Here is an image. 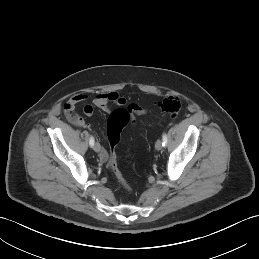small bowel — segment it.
Masks as SVG:
<instances>
[{
    "label": "small bowel",
    "instance_id": "obj_1",
    "mask_svg": "<svg viewBox=\"0 0 259 259\" xmlns=\"http://www.w3.org/2000/svg\"><path fill=\"white\" fill-rule=\"evenodd\" d=\"M82 101H89L95 107L108 112L110 110V104H116L122 107H126L129 112L134 113L138 116H142L146 113V110L141 107L137 103H129L126 98L121 96L117 92H103L94 95H87V94H77L72 97L71 102L73 104L82 102ZM84 113L87 116L92 115L93 107L91 105H86L84 107ZM80 127H86L84 120L79 119L76 123ZM106 151L100 148V160L105 161Z\"/></svg>",
    "mask_w": 259,
    "mask_h": 259
}]
</instances>
